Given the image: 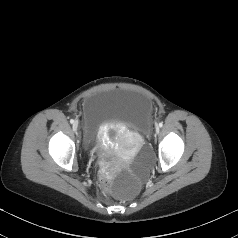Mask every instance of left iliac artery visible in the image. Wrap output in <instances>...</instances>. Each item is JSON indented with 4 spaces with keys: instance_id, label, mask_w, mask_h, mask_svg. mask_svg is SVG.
<instances>
[{
    "instance_id": "obj_1",
    "label": "left iliac artery",
    "mask_w": 238,
    "mask_h": 238,
    "mask_svg": "<svg viewBox=\"0 0 238 238\" xmlns=\"http://www.w3.org/2000/svg\"><path fill=\"white\" fill-rule=\"evenodd\" d=\"M163 126V123L161 122V123H159V127H162Z\"/></svg>"
}]
</instances>
